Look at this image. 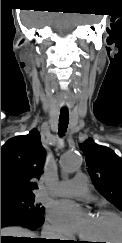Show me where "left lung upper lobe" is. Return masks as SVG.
Returning a JSON list of instances; mask_svg holds the SVG:
<instances>
[{
    "label": "left lung upper lobe",
    "instance_id": "5c2ea615",
    "mask_svg": "<svg viewBox=\"0 0 122 243\" xmlns=\"http://www.w3.org/2000/svg\"><path fill=\"white\" fill-rule=\"evenodd\" d=\"M87 171L101 195L122 211V159L108 147L92 139L80 145Z\"/></svg>",
    "mask_w": 122,
    "mask_h": 243
}]
</instances>
